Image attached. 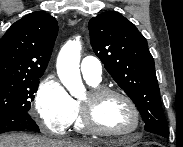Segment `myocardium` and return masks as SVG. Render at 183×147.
Here are the masks:
<instances>
[{
  "instance_id": "f54148a6",
  "label": "myocardium",
  "mask_w": 183,
  "mask_h": 147,
  "mask_svg": "<svg viewBox=\"0 0 183 147\" xmlns=\"http://www.w3.org/2000/svg\"><path fill=\"white\" fill-rule=\"evenodd\" d=\"M110 96H118L129 105L135 118V126L133 129L121 132L104 128L99 124L95 116L97 103ZM80 104L84 125L92 133L114 137H129L137 134L142 127L141 115L137 105L130 96L122 91L106 87L95 88L88 93V98Z\"/></svg>"
}]
</instances>
